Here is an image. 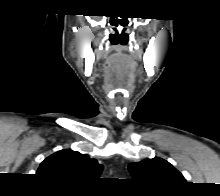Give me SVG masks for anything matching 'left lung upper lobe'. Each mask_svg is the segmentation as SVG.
I'll return each mask as SVG.
<instances>
[{
  "label": "left lung upper lobe",
  "instance_id": "left-lung-upper-lobe-1",
  "mask_svg": "<svg viewBox=\"0 0 220 196\" xmlns=\"http://www.w3.org/2000/svg\"><path fill=\"white\" fill-rule=\"evenodd\" d=\"M128 168L133 178L146 186L173 189L186 183L182 174L161 158L131 163Z\"/></svg>",
  "mask_w": 220,
  "mask_h": 196
}]
</instances>
